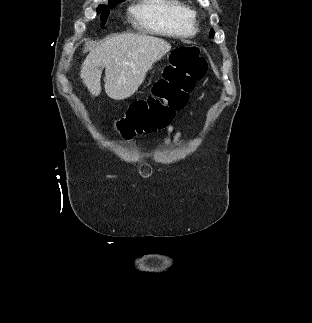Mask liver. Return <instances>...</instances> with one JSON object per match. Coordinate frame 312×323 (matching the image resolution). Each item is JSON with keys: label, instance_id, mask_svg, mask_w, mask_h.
I'll use <instances>...</instances> for the list:
<instances>
[{"label": "liver", "instance_id": "liver-1", "mask_svg": "<svg viewBox=\"0 0 312 323\" xmlns=\"http://www.w3.org/2000/svg\"><path fill=\"white\" fill-rule=\"evenodd\" d=\"M171 46L165 40L140 34H119L105 38L89 52L81 66L80 78L92 96L101 92L105 68V92L112 100H127L143 84L145 76Z\"/></svg>", "mask_w": 312, "mask_h": 323}]
</instances>
